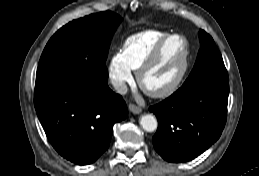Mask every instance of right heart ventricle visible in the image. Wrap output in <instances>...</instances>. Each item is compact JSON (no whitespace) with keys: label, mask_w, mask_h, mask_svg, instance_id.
Masks as SVG:
<instances>
[{"label":"right heart ventricle","mask_w":259,"mask_h":176,"mask_svg":"<svg viewBox=\"0 0 259 176\" xmlns=\"http://www.w3.org/2000/svg\"><path fill=\"white\" fill-rule=\"evenodd\" d=\"M169 33L163 30L146 29L129 36L122 47V56L130 70L137 71L158 42Z\"/></svg>","instance_id":"1"}]
</instances>
